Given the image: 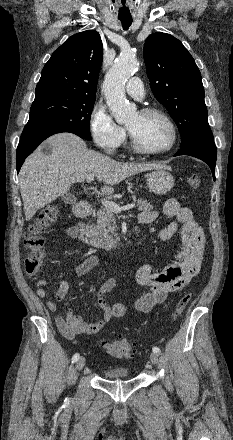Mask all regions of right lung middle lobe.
<instances>
[{
	"instance_id": "right-lung-middle-lobe-1",
	"label": "right lung middle lobe",
	"mask_w": 233,
	"mask_h": 440,
	"mask_svg": "<svg viewBox=\"0 0 233 440\" xmlns=\"http://www.w3.org/2000/svg\"><path fill=\"white\" fill-rule=\"evenodd\" d=\"M95 98L57 97L33 103L29 126L64 127L91 140L90 118Z\"/></svg>"
}]
</instances>
